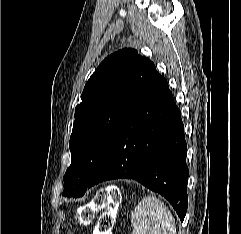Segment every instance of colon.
Returning a JSON list of instances; mask_svg holds the SVG:
<instances>
[{"label": "colon", "instance_id": "obj_1", "mask_svg": "<svg viewBox=\"0 0 241 234\" xmlns=\"http://www.w3.org/2000/svg\"><path fill=\"white\" fill-rule=\"evenodd\" d=\"M120 200L119 192L115 189L99 190L90 204L80 208L78 217L83 224L93 221L97 212H102L96 225L94 234H112L115 212Z\"/></svg>", "mask_w": 241, "mask_h": 234}]
</instances>
